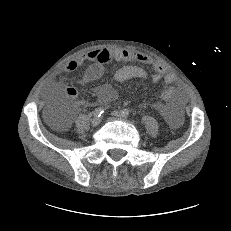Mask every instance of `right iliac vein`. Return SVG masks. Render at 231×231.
Instances as JSON below:
<instances>
[{"label":"right iliac vein","instance_id":"right-iliac-vein-1","mask_svg":"<svg viewBox=\"0 0 231 231\" xmlns=\"http://www.w3.org/2000/svg\"><path fill=\"white\" fill-rule=\"evenodd\" d=\"M101 123V118L100 117H94L92 119V125L93 126H98Z\"/></svg>","mask_w":231,"mask_h":231}]
</instances>
